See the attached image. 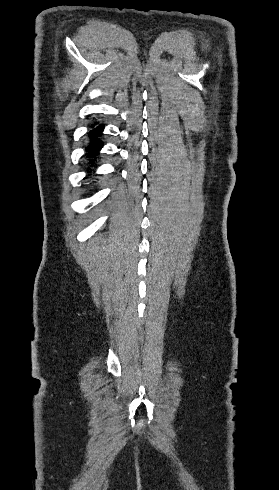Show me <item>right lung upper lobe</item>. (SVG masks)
Segmentation results:
<instances>
[{
    "label": "right lung upper lobe",
    "instance_id": "1",
    "mask_svg": "<svg viewBox=\"0 0 279 490\" xmlns=\"http://www.w3.org/2000/svg\"><path fill=\"white\" fill-rule=\"evenodd\" d=\"M96 124H97V123H95V125H96ZM93 126H94V125H92V127H93ZM99 126H100V125H99ZM97 127H98V126H97Z\"/></svg>",
    "mask_w": 279,
    "mask_h": 490
}]
</instances>
